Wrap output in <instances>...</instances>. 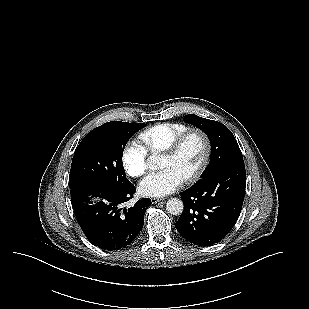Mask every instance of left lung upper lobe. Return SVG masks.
<instances>
[{
  "mask_svg": "<svg viewBox=\"0 0 309 309\" xmlns=\"http://www.w3.org/2000/svg\"><path fill=\"white\" fill-rule=\"evenodd\" d=\"M184 120L203 130L211 143V159L200 178L221 168L244 163L238 143L225 125L193 114L186 115Z\"/></svg>",
  "mask_w": 309,
  "mask_h": 309,
  "instance_id": "left-lung-upper-lobe-1",
  "label": "left lung upper lobe"
}]
</instances>
